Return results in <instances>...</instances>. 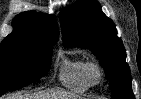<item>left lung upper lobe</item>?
I'll return each instance as SVG.
<instances>
[{"instance_id": "5c2ea615", "label": "left lung upper lobe", "mask_w": 141, "mask_h": 99, "mask_svg": "<svg viewBox=\"0 0 141 99\" xmlns=\"http://www.w3.org/2000/svg\"><path fill=\"white\" fill-rule=\"evenodd\" d=\"M61 24L66 47L88 48L99 59L110 81L112 98L134 99L125 48L100 4L96 0H78L61 13Z\"/></svg>"}]
</instances>
